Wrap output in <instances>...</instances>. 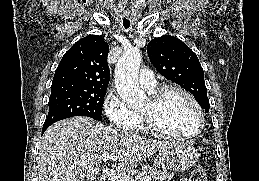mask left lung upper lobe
I'll return each mask as SVG.
<instances>
[{"mask_svg": "<svg viewBox=\"0 0 259 181\" xmlns=\"http://www.w3.org/2000/svg\"><path fill=\"white\" fill-rule=\"evenodd\" d=\"M150 61L165 78L188 90L199 105L209 111L203 68L197 55L180 39L163 35L148 43Z\"/></svg>", "mask_w": 259, "mask_h": 181, "instance_id": "obj_1", "label": "left lung upper lobe"}]
</instances>
